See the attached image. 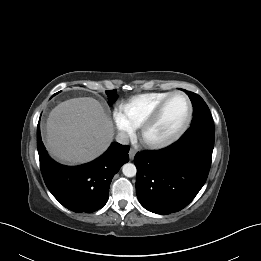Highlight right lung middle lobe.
Listing matches in <instances>:
<instances>
[{
  "instance_id": "obj_1",
  "label": "right lung middle lobe",
  "mask_w": 261,
  "mask_h": 261,
  "mask_svg": "<svg viewBox=\"0 0 261 261\" xmlns=\"http://www.w3.org/2000/svg\"><path fill=\"white\" fill-rule=\"evenodd\" d=\"M106 94L108 95L109 101L111 103H113L118 97L117 90H108V91H106Z\"/></svg>"
}]
</instances>
